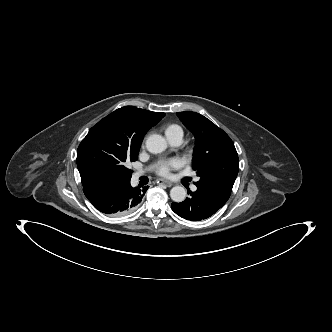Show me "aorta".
<instances>
[{
  "label": "aorta",
  "instance_id": "obj_1",
  "mask_svg": "<svg viewBox=\"0 0 332 332\" xmlns=\"http://www.w3.org/2000/svg\"><path fill=\"white\" fill-rule=\"evenodd\" d=\"M146 148L150 153L158 154L165 151L167 143L161 135L154 134L147 138ZM170 197L174 202H183L186 198V190L182 186H175L170 190Z\"/></svg>",
  "mask_w": 332,
  "mask_h": 332
}]
</instances>
